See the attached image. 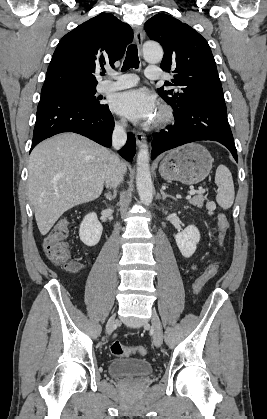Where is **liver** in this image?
Wrapping results in <instances>:
<instances>
[{"label":"liver","mask_w":267,"mask_h":419,"mask_svg":"<svg viewBox=\"0 0 267 419\" xmlns=\"http://www.w3.org/2000/svg\"><path fill=\"white\" fill-rule=\"evenodd\" d=\"M110 155L103 146L75 133L56 135L33 149L28 190L42 235L64 212L101 195Z\"/></svg>","instance_id":"1"}]
</instances>
